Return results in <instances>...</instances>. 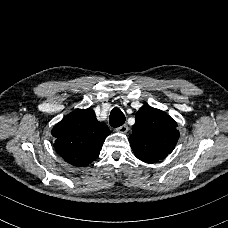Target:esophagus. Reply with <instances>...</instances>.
Instances as JSON below:
<instances>
[{
    "label": "esophagus",
    "mask_w": 228,
    "mask_h": 228,
    "mask_svg": "<svg viewBox=\"0 0 228 228\" xmlns=\"http://www.w3.org/2000/svg\"><path fill=\"white\" fill-rule=\"evenodd\" d=\"M119 133H127L128 132V126L126 124H123L122 126L118 127L116 129Z\"/></svg>",
    "instance_id": "1"
}]
</instances>
